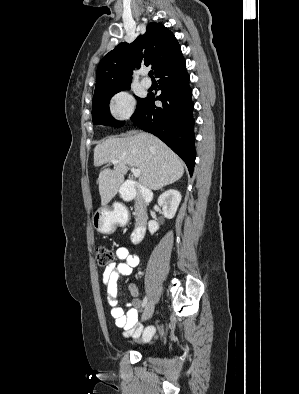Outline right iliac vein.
<instances>
[{"label":"right iliac vein","mask_w":299,"mask_h":394,"mask_svg":"<svg viewBox=\"0 0 299 394\" xmlns=\"http://www.w3.org/2000/svg\"><path fill=\"white\" fill-rule=\"evenodd\" d=\"M154 312V304L153 303H148L144 309V312L142 314V321H145L149 319Z\"/></svg>","instance_id":"63e3f726"}]
</instances>
